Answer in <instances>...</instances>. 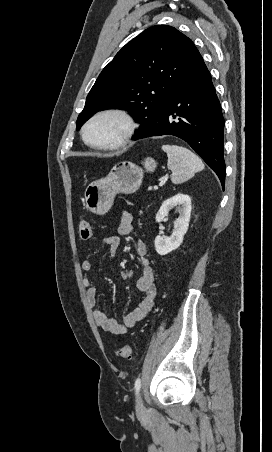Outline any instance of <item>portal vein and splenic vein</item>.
Instances as JSON below:
<instances>
[{
    "label": "portal vein and splenic vein",
    "mask_w": 272,
    "mask_h": 452,
    "mask_svg": "<svg viewBox=\"0 0 272 452\" xmlns=\"http://www.w3.org/2000/svg\"><path fill=\"white\" fill-rule=\"evenodd\" d=\"M164 182H165V180H162V181L160 182V185L163 184ZM154 189H158V186L155 185V186H154Z\"/></svg>",
    "instance_id": "18ae733b"
}]
</instances>
